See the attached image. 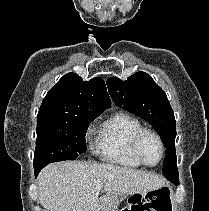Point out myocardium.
<instances>
[{
  "mask_svg": "<svg viewBox=\"0 0 209 211\" xmlns=\"http://www.w3.org/2000/svg\"><path fill=\"white\" fill-rule=\"evenodd\" d=\"M145 135L153 136L157 140V142L160 146L161 155H160L158 162L155 164L147 163L141 155L140 142ZM131 149H132L134 156L137 158V160L142 165H145L148 167H154V166H157L158 164H160L165 155V146H164V142H163L162 138L155 130L148 128V127H141L135 132V134L133 135L132 141H131Z\"/></svg>",
  "mask_w": 209,
  "mask_h": 211,
  "instance_id": "obj_1",
  "label": "myocardium"
}]
</instances>
